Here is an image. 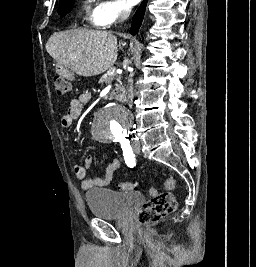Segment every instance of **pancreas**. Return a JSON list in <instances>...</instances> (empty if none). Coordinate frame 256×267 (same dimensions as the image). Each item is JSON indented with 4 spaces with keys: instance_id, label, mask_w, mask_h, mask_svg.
<instances>
[{
    "instance_id": "obj_1",
    "label": "pancreas",
    "mask_w": 256,
    "mask_h": 267,
    "mask_svg": "<svg viewBox=\"0 0 256 267\" xmlns=\"http://www.w3.org/2000/svg\"><path fill=\"white\" fill-rule=\"evenodd\" d=\"M115 74H112V76H103V78H101V82H105V84H110V82H112L113 78H114ZM118 82H120V80H118ZM118 88H115V90H113V92H111V96L113 98V100H123L124 96H125V88L124 86H121V84H117ZM121 96V98H120Z\"/></svg>"
}]
</instances>
